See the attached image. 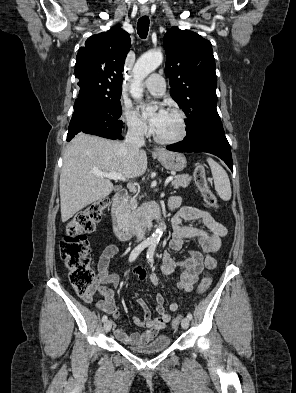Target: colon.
Instances as JSON below:
<instances>
[{
    "mask_svg": "<svg viewBox=\"0 0 296 393\" xmlns=\"http://www.w3.org/2000/svg\"><path fill=\"white\" fill-rule=\"evenodd\" d=\"M194 178L205 203L214 209L218 208L216 196L210 190L205 169L202 165L195 168ZM108 200L101 198L84 209L78 211L68 222L66 235L60 243V255L68 270V279L81 297L88 296L98 285L95 269L90 258V246L86 234L94 230L95 224L106 210ZM211 277L205 276L198 288V294H204L211 285ZM182 316L176 317L172 325L177 327Z\"/></svg>",
    "mask_w": 296,
    "mask_h": 393,
    "instance_id": "1",
    "label": "colon"
}]
</instances>
